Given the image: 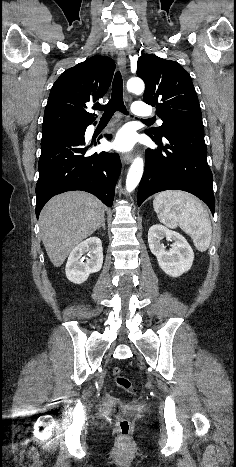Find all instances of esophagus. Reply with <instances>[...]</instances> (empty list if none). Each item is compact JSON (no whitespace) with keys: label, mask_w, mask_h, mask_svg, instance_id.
<instances>
[{"label":"esophagus","mask_w":236,"mask_h":467,"mask_svg":"<svg viewBox=\"0 0 236 467\" xmlns=\"http://www.w3.org/2000/svg\"><path fill=\"white\" fill-rule=\"evenodd\" d=\"M117 62H118V65H119V68H120L121 72L125 76L126 73H127V70H126V56H125V53H124V51L122 49H119L118 52H117ZM122 161L125 164L131 163L133 161V154L132 153L123 154L122 155Z\"/></svg>","instance_id":"34e87169"}]
</instances>
